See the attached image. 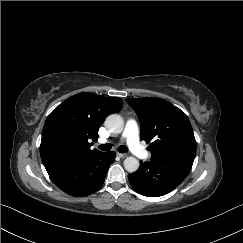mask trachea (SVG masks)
Wrapping results in <instances>:
<instances>
[{
    "label": "trachea",
    "instance_id": "obj_1",
    "mask_svg": "<svg viewBox=\"0 0 243 243\" xmlns=\"http://www.w3.org/2000/svg\"><path fill=\"white\" fill-rule=\"evenodd\" d=\"M98 148L102 151H109V150H111L112 145L110 143H106V144L99 145ZM118 151L120 153H125V152H128V148L124 145H121L118 147Z\"/></svg>",
    "mask_w": 243,
    "mask_h": 243
}]
</instances>
